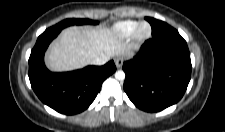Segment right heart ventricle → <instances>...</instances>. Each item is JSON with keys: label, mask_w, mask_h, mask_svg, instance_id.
I'll list each match as a JSON object with an SVG mask.
<instances>
[{"label": "right heart ventricle", "mask_w": 225, "mask_h": 132, "mask_svg": "<svg viewBox=\"0 0 225 132\" xmlns=\"http://www.w3.org/2000/svg\"><path fill=\"white\" fill-rule=\"evenodd\" d=\"M139 22L135 20H124L115 23L111 28L112 36L124 39L132 36L134 30L138 26Z\"/></svg>", "instance_id": "obj_1"}]
</instances>
